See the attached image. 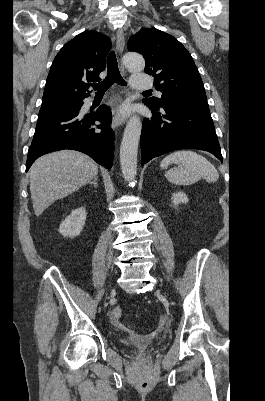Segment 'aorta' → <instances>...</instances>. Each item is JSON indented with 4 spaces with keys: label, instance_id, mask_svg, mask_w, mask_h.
I'll return each instance as SVG.
<instances>
[{
    "label": "aorta",
    "instance_id": "762f6f07",
    "mask_svg": "<svg viewBox=\"0 0 265 401\" xmlns=\"http://www.w3.org/2000/svg\"><path fill=\"white\" fill-rule=\"evenodd\" d=\"M123 64L130 72L135 70H143L145 60L141 54L137 52H126L123 58ZM140 116H131L124 130L121 146H120V164L125 180H134L137 174V152L139 138L141 134Z\"/></svg>",
    "mask_w": 265,
    "mask_h": 401
}]
</instances>
